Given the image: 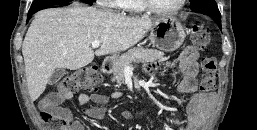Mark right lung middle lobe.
Here are the masks:
<instances>
[{"label":"right lung middle lobe","instance_id":"dd1d6c3e","mask_svg":"<svg viewBox=\"0 0 257 130\" xmlns=\"http://www.w3.org/2000/svg\"><path fill=\"white\" fill-rule=\"evenodd\" d=\"M88 3H93V0H87ZM67 2L61 1V0H34L32 3V6L28 13L33 14L34 12L38 11L41 8L47 7V6H53V5H64Z\"/></svg>","mask_w":257,"mask_h":130}]
</instances>
